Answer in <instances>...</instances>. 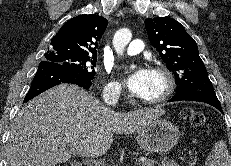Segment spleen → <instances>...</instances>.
<instances>
[{
    "label": "spleen",
    "instance_id": "obj_1",
    "mask_svg": "<svg viewBox=\"0 0 231 166\" xmlns=\"http://www.w3.org/2000/svg\"><path fill=\"white\" fill-rule=\"evenodd\" d=\"M205 166H231V157L225 141L221 140L214 144Z\"/></svg>",
    "mask_w": 231,
    "mask_h": 166
}]
</instances>
